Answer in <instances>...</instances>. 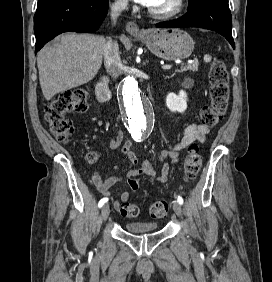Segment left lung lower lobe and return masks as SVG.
Returning <instances> with one entry per match:
<instances>
[{"label": "left lung lower lobe", "instance_id": "left-lung-lower-lobe-1", "mask_svg": "<svg viewBox=\"0 0 272 282\" xmlns=\"http://www.w3.org/2000/svg\"><path fill=\"white\" fill-rule=\"evenodd\" d=\"M160 28L200 27L223 35L235 49L232 38V17L228 0H189L185 15L173 21L156 24Z\"/></svg>", "mask_w": 272, "mask_h": 282}]
</instances>
